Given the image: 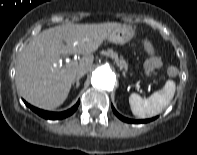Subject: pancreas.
<instances>
[{"label":"pancreas","mask_w":197,"mask_h":155,"mask_svg":"<svg viewBox=\"0 0 197 155\" xmlns=\"http://www.w3.org/2000/svg\"><path fill=\"white\" fill-rule=\"evenodd\" d=\"M103 53L104 55L109 56L112 59H114L116 64L120 67V69L124 70V74H125V72L128 69V65L122 56L119 57L118 54L114 52L112 49H108L107 51H104Z\"/></svg>","instance_id":"pancreas-1"}]
</instances>
